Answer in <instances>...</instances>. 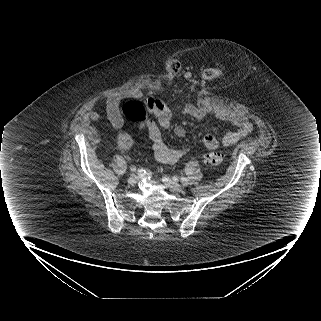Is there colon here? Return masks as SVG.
Returning a JSON list of instances; mask_svg holds the SVG:
<instances>
[{
	"instance_id": "5ec220e1",
	"label": "colon",
	"mask_w": 321,
	"mask_h": 321,
	"mask_svg": "<svg viewBox=\"0 0 321 321\" xmlns=\"http://www.w3.org/2000/svg\"><path fill=\"white\" fill-rule=\"evenodd\" d=\"M167 75L164 77L166 82L171 80L170 76H174L180 69V63L177 58H168L164 64ZM228 70L226 63H218L213 67L204 68L198 74V81L202 85H209L213 79L220 78L225 75ZM123 117L133 123L143 125L147 119V111L145 106L139 101H129L122 107ZM95 116V115H94ZM203 161L209 165H220L224 161V156L216 151H210L203 155Z\"/></svg>"
}]
</instances>
